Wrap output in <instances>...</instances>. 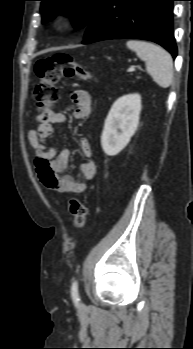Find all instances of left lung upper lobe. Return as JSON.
<instances>
[{
  "label": "left lung upper lobe",
  "instance_id": "1",
  "mask_svg": "<svg viewBox=\"0 0 193 349\" xmlns=\"http://www.w3.org/2000/svg\"><path fill=\"white\" fill-rule=\"evenodd\" d=\"M41 13L44 14L43 22L58 13L70 14L76 18L74 26L81 28L89 26L106 0H39Z\"/></svg>",
  "mask_w": 193,
  "mask_h": 349
}]
</instances>
